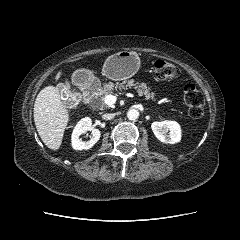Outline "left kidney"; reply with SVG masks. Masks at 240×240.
<instances>
[{
	"label": "left kidney",
	"mask_w": 240,
	"mask_h": 240,
	"mask_svg": "<svg viewBox=\"0 0 240 240\" xmlns=\"http://www.w3.org/2000/svg\"><path fill=\"white\" fill-rule=\"evenodd\" d=\"M152 131L156 138L166 144H174L181 140V128L176 121L153 122Z\"/></svg>",
	"instance_id": "obj_1"
}]
</instances>
